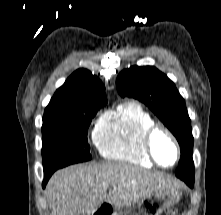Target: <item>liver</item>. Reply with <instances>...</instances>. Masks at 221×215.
Wrapping results in <instances>:
<instances>
[{"mask_svg":"<svg viewBox=\"0 0 221 215\" xmlns=\"http://www.w3.org/2000/svg\"><path fill=\"white\" fill-rule=\"evenodd\" d=\"M181 187L178 180L166 174L128 163L106 162L57 171L47 184L46 196L51 215H90L104 201L119 208L154 191Z\"/></svg>","mask_w":221,"mask_h":215,"instance_id":"obj_1","label":"liver"}]
</instances>
